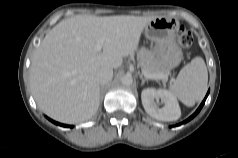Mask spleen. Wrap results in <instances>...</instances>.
<instances>
[{
    "mask_svg": "<svg viewBox=\"0 0 238 158\" xmlns=\"http://www.w3.org/2000/svg\"><path fill=\"white\" fill-rule=\"evenodd\" d=\"M207 83L206 64L203 58L195 57L180 70L176 80L170 84L169 92L184 105L191 107L203 99Z\"/></svg>",
    "mask_w": 238,
    "mask_h": 158,
    "instance_id": "spleen-1",
    "label": "spleen"
}]
</instances>
